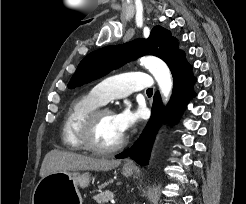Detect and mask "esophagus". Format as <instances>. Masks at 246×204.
<instances>
[{
  "instance_id": "esophagus-1",
  "label": "esophagus",
  "mask_w": 246,
  "mask_h": 204,
  "mask_svg": "<svg viewBox=\"0 0 246 204\" xmlns=\"http://www.w3.org/2000/svg\"><path fill=\"white\" fill-rule=\"evenodd\" d=\"M125 166L132 167L133 163L129 160L125 163Z\"/></svg>"
}]
</instances>
